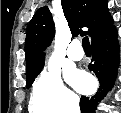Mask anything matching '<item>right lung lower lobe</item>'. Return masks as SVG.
I'll use <instances>...</instances> for the list:
<instances>
[{"instance_id": "obj_1", "label": "right lung lower lobe", "mask_w": 121, "mask_h": 113, "mask_svg": "<svg viewBox=\"0 0 121 113\" xmlns=\"http://www.w3.org/2000/svg\"><path fill=\"white\" fill-rule=\"evenodd\" d=\"M91 47L93 57L89 69L98 78L100 88L94 96L81 97V113H95L96 106L114 84L119 66V47L115 27L112 25L105 32L93 38Z\"/></svg>"}]
</instances>
